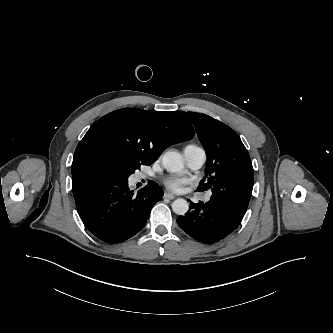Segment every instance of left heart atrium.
<instances>
[{"mask_svg": "<svg viewBox=\"0 0 333 333\" xmlns=\"http://www.w3.org/2000/svg\"><path fill=\"white\" fill-rule=\"evenodd\" d=\"M188 183L186 178L170 176L164 179L165 186L173 192H180L185 184Z\"/></svg>", "mask_w": 333, "mask_h": 333, "instance_id": "left-heart-atrium-1", "label": "left heart atrium"}]
</instances>
